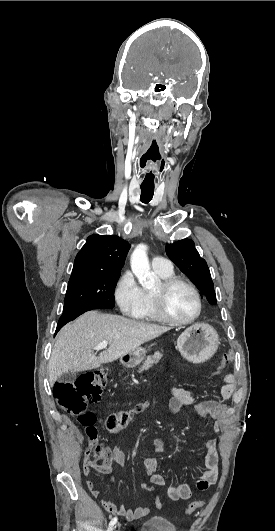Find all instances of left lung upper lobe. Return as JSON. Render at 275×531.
Returning a JSON list of instances; mask_svg holds the SVG:
<instances>
[{
  "instance_id": "left-lung-upper-lobe-1",
  "label": "left lung upper lobe",
  "mask_w": 275,
  "mask_h": 531,
  "mask_svg": "<svg viewBox=\"0 0 275 531\" xmlns=\"http://www.w3.org/2000/svg\"><path fill=\"white\" fill-rule=\"evenodd\" d=\"M168 257L199 288L211 305L217 303L214 284L206 261L200 257L194 242L183 239L166 245Z\"/></svg>"
}]
</instances>
